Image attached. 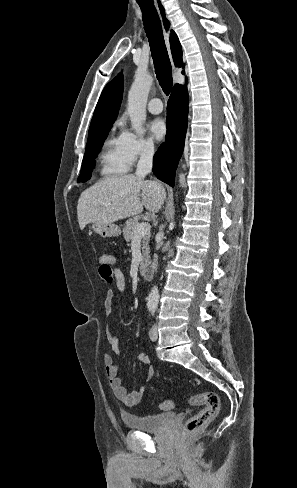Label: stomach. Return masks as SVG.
Instances as JSON below:
<instances>
[{
	"mask_svg": "<svg viewBox=\"0 0 297 488\" xmlns=\"http://www.w3.org/2000/svg\"><path fill=\"white\" fill-rule=\"evenodd\" d=\"M91 228L94 230V232L98 233L103 238L116 237L121 234V230L119 226L113 223L110 224L93 223Z\"/></svg>",
	"mask_w": 297,
	"mask_h": 488,
	"instance_id": "1",
	"label": "stomach"
}]
</instances>
